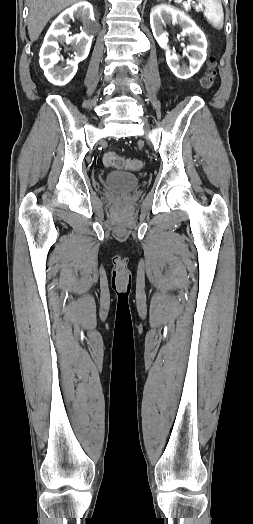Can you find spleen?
<instances>
[{
    "label": "spleen",
    "instance_id": "1",
    "mask_svg": "<svg viewBox=\"0 0 253 524\" xmlns=\"http://www.w3.org/2000/svg\"><path fill=\"white\" fill-rule=\"evenodd\" d=\"M204 5V16L208 22L216 29H222L224 21V13L220 0H197Z\"/></svg>",
    "mask_w": 253,
    "mask_h": 524
}]
</instances>
